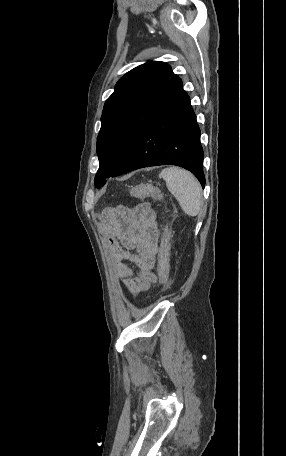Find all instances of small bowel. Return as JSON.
Instances as JSON below:
<instances>
[{
	"mask_svg": "<svg viewBox=\"0 0 286 456\" xmlns=\"http://www.w3.org/2000/svg\"><path fill=\"white\" fill-rule=\"evenodd\" d=\"M101 221L113 273L122 278L132 295L145 292L156 281L153 273L159 236L156 212L149 204L141 203L132 209L107 210ZM127 261L133 263L136 270L129 267Z\"/></svg>",
	"mask_w": 286,
	"mask_h": 456,
	"instance_id": "c3829d8e",
	"label": "small bowel"
}]
</instances>
